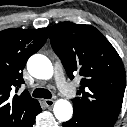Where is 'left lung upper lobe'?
<instances>
[{
	"label": "left lung upper lobe",
	"instance_id": "left-lung-upper-lobe-1",
	"mask_svg": "<svg viewBox=\"0 0 127 127\" xmlns=\"http://www.w3.org/2000/svg\"><path fill=\"white\" fill-rule=\"evenodd\" d=\"M55 53L72 79L82 76L81 97L72 99L74 110L114 125L123 101L125 70L110 42L93 26L62 22L49 28Z\"/></svg>",
	"mask_w": 127,
	"mask_h": 127
}]
</instances>
